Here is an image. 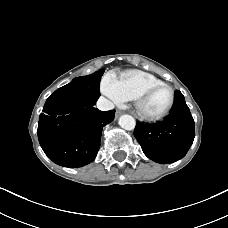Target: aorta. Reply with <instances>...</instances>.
<instances>
[{"mask_svg":"<svg viewBox=\"0 0 228 228\" xmlns=\"http://www.w3.org/2000/svg\"><path fill=\"white\" fill-rule=\"evenodd\" d=\"M118 123L125 130H133L136 125L135 119L128 114L120 116Z\"/></svg>","mask_w":228,"mask_h":228,"instance_id":"aorta-1","label":"aorta"}]
</instances>
